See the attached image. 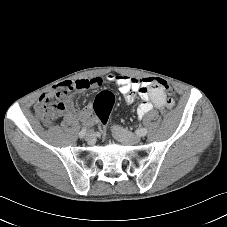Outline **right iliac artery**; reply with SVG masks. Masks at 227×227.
Listing matches in <instances>:
<instances>
[{"label": "right iliac artery", "instance_id": "82829eb1", "mask_svg": "<svg viewBox=\"0 0 227 227\" xmlns=\"http://www.w3.org/2000/svg\"><path fill=\"white\" fill-rule=\"evenodd\" d=\"M86 131H87V129H86V128H83V129L79 132V137H80V138H83V137L85 136V134H86Z\"/></svg>", "mask_w": 227, "mask_h": 227}]
</instances>
